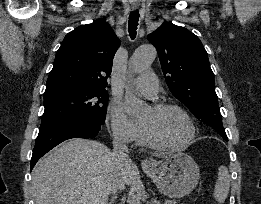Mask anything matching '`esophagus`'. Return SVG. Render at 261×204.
<instances>
[{
	"instance_id": "esophagus-1",
	"label": "esophagus",
	"mask_w": 261,
	"mask_h": 204,
	"mask_svg": "<svg viewBox=\"0 0 261 204\" xmlns=\"http://www.w3.org/2000/svg\"><path fill=\"white\" fill-rule=\"evenodd\" d=\"M132 8H133V9H137L138 6H137V5H133ZM141 164H142V167H143V168H151V167H153V165H154L153 161L150 160V159H144V160H142V163H141Z\"/></svg>"
}]
</instances>
